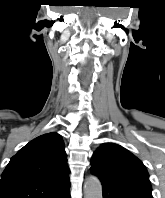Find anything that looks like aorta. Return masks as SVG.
Masks as SVG:
<instances>
[{"instance_id":"1","label":"aorta","mask_w":165,"mask_h":198,"mask_svg":"<svg viewBox=\"0 0 165 198\" xmlns=\"http://www.w3.org/2000/svg\"><path fill=\"white\" fill-rule=\"evenodd\" d=\"M84 198H102V185L95 176H89L84 183Z\"/></svg>"}]
</instances>
